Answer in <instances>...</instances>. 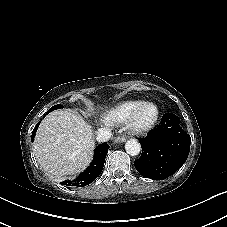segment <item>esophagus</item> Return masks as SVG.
I'll return each instance as SVG.
<instances>
[{"label":"esophagus","mask_w":227,"mask_h":227,"mask_svg":"<svg viewBox=\"0 0 227 227\" xmlns=\"http://www.w3.org/2000/svg\"><path fill=\"white\" fill-rule=\"evenodd\" d=\"M126 141V136L125 135H119L118 137L115 138L114 143H122Z\"/></svg>","instance_id":"1"}]
</instances>
